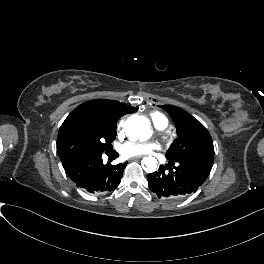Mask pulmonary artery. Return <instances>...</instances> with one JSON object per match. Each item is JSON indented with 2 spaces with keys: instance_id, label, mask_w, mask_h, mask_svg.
Instances as JSON below:
<instances>
[{
  "instance_id": "pulmonary-artery-1",
  "label": "pulmonary artery",
  "mask_w": 264,
  "mask_h": 264,
  "mask_svg": "<svg viewBox=\"0 0 264 264\" xmlns=\"http://www.w3.org/2000/svg\"><path fill=\"white\" fill-rule=\"evenodd\" d=\"M156 124L159 128H164L166 126V122ZM155 147L153 143H126L121 146V149L122 152L128 151V154H149Z\"/></svg>"
}]
</instances>
